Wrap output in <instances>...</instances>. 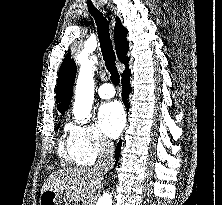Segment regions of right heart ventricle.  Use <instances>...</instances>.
Instances as JSON below:
<instances>
[{"instance_id":"obj_1","label":"right heart ventricle","mask_w":222,"mask_h":205,"mask_svg":"<svg viewBox=\"0 0 222 205\" xmlns=\"http://www.w3.org/2000/svg\"><path fill=\"white\" fill-rule=\"evenodd\" d=\"M62 159L71 165H84L79 156L71 149L69 144L64 146L63 142L60 143L59 148Z\"/></svg>"}]
</instances>
